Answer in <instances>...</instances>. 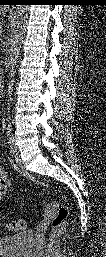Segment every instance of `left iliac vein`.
<instances>
[{"label": "left iliac vein", "instance_id": "obj_1", "mask_svg": "<svg viewBox=\"0 0 106 257\" xmlns=\"http://www.w3.org/2000/svg\"><path fill=\"white\" fill-rule=\"evenodd\" d=\"M10 152H11L12 155H17V153H18V148L15 144L14 139H12V142H11Z\"/></svg>", "mask_w": 106, "mask_h": 257}]
</instances>
